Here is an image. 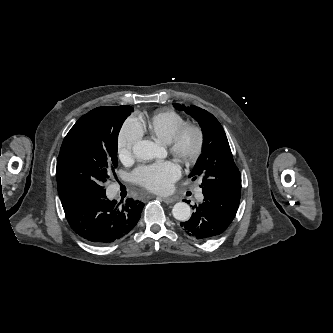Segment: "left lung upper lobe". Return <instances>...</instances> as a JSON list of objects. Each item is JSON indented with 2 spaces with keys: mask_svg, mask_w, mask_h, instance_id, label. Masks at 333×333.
Segmentation results:
<instances>
[{
  "mask_svg": "<svg viewBox=\"0 0 333 333\" xmlns=\"http://www.w3.org/2000/svg\"><path fill=\"white\" fill-rule=\"evenodd\" d=\"M178 110H184L201 126L203 132L202 154L189 175L202 178L200 187L214 192L235 193L241 190V175L236 167L223 127L208 111L197 106L186 108L174 103Z\"/></svg>",
  "mask_w": 333,
  "mask_h": 333,
  "instance_id": "1",
  "label": "left lung upper lobe"
}]
</instances>
